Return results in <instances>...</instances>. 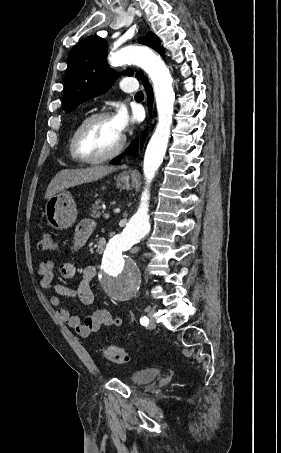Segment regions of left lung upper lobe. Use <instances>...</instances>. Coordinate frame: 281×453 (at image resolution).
<instances>
[{"mask_svg":"<svg viewBox=\"0 0 281 453\" xmlns=\"http://www.w3.org/2000/svg\"><path fill=\"white\" fill-rule=\"evenodd\" d=\"M140 43L161 53L159 38L150 33L141 38ZM107 42L98 36H88L80 40L70 51L68 67L65 73V85L62 108L66 113L74 110L81 103L102 94L117 77L106 64ZM126 73L131 76L133 70ZM139 80L144 78L141 71L136 72Z\"/></svg>","mask_w":281,"mask_h":453,"instance_id":"1","label":"left lung upper lobe"}]
</instances>
